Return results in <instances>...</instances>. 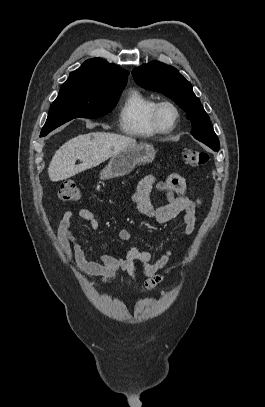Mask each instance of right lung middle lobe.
Listing matches in <instances>:
<instances>
[{
	"label": "right lung middle lobe",
	"instance_id": "right-lung-middle-lobe-1",
	"mask_svg": "<svg viewBox=\"0 0 265 407\" xmlns=\"http://www.w3.org/2000/svg\"><path fill=\"white\" fill-rule=\"evenodd\" d=\"M126 84L66 81L51 105L40 136L74 118H97L111 112Z\"/></svg>",
	"mask_w": 265,
	"mask_h": 407
}]
</instances>
